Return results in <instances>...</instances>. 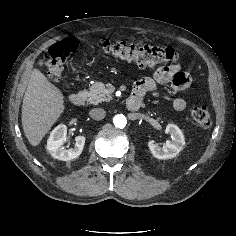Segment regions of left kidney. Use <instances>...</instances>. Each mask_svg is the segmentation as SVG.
I'll return each mask as SVG.
<instances>
[{
    "label": "left kidney",
    "mask_w": 236,
    "mask_h": 236,
    "mask_svg": "<svg viewBox=\"0 0 236 236\" xmlns=\"http://www.w3.org/2000/svg\"><path fill=\"white\" fill-rule=\"evenodd\" d=\"M165 131L171 135L172 141H167L163 147H160L153 140L148 141V147L157 159L174 158L185 146L184 135L177 125L168 124Z\"/></svg>",
    "instance_id": "left-kidney-1"
}]
</instances>
